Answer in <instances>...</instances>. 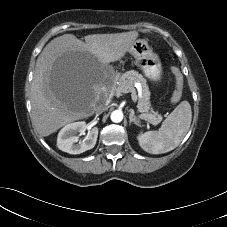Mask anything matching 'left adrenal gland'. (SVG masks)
Masks as SVG:
<instances>
[{
    "instance_id": "obj_1",
    "label": "left adrenal gland",
    "mask_w": 227,
    "mask_h": 227,
    "mask_svg": "<svg viewBox=\"0 0 227 227\" xmlns=\"http://www.w3.org/2000/svg\"><path fill=\"white\" fill-rule=\"evenodd\" d=\"M131 123H134L139 126V121H138L137 117L134 115L133 111H131V113L129 114V124H131Z\"/></svg>"
}]
</instances>
